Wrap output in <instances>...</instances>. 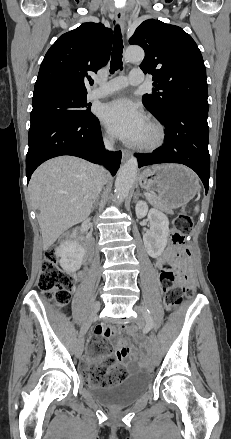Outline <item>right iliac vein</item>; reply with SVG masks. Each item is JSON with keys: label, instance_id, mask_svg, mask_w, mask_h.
<instances>
[{"label": "right iliac vein", "instance_id": "right-iliac-vein-1", "mask_svg": "<svg viewBox=\"0 0 231 439\" xmlns=\"http://www.w3.org/2000/svg\"><path fill=\"white\" fill-rule=\"evenodd\" d=\"M99 309H100V303L96 302L91 310L89 318L86 319V321L84 322V324L82 326V331H81L80 337L77 341L76 349H75V354L78 358L81 357L83 350H84V335H85L86 331L88 330V328L90 327L91 323L98 319L97 312Z\"/></svg>", "mask_w": 231, "mask_h": 439}]
</instances>
